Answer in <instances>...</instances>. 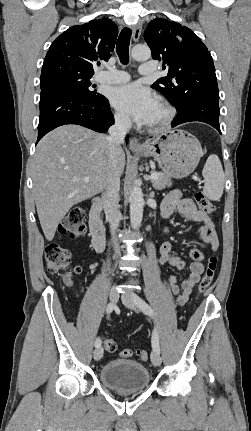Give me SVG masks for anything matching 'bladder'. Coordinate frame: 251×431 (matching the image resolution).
<instances>
[{"mask_svg":"<svg viewBox=\"0 0 251 431\" xmlns=\"http://www.w3.org/2000/svg\"><path fill=\"white\" fill-rule=\"evenodd\" d=\"M101 382L119 393H132L145 389L150 382V372L143 364L126 359L107 362L99 372Z\"/></svg>","mask_w":251,"mask_h":431,"instance_id":"31cf9c89","label":"bladder"}]
</instances>
